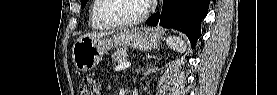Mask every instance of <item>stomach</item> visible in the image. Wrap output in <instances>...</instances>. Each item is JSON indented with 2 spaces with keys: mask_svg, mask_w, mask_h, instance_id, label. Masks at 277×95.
<instances>
[{
  "mask_svg": "<svg viewBox=\"0 0 277 95\" xmlns=\"http://www.w3.org/2000/svg\"><path fill=\"white\" fill-rule=\"evenodd\" d=\"M161 34L152 28H133L114 35L112 38H78L72 47V60L78 71L88 72L102 59L104 53L112 48L130 46L149 51L159 46Z\"/></svg>",
  "mask_w": 277,
  "mask_h": 95,
  "instance_id": "obj_1",
  "label": "stomach"
}]
</instances>
